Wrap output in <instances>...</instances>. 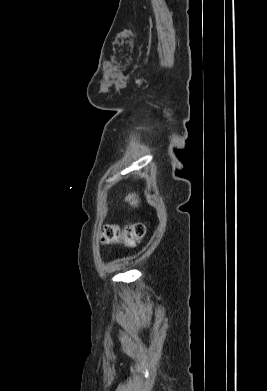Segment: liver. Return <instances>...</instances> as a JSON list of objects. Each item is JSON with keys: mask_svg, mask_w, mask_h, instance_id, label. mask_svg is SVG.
I'll return each mask as SVG.
<instances>
[{"mask_svg": "<svg viewBox=\"0 0 267 391\" xmlns=\"http://www.w3.org/2000/svg\"><path fill=\"white\" fill-rule=\"evenodd\" d=\"M125 201L129 202V204L134 208L139 205V197L135 193L126 196Z\"/></svg>", "mask_w": 267, "mask_h": 391, "instance_id": "liver-1", "label": "liver"}]
</instances>
